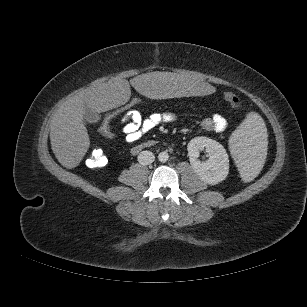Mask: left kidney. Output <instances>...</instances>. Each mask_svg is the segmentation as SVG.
Listing matches in <instances>:
<instances>
[{
    "mask_svg": "<svg viewBox=\"0 0 307 307\" xmlns=\"http://www.w3.org/2000/svg\"><path fill=\"white\" fill-rule=\"evenodd\" d=\"M190 164L199 177L208 184H217L228 175L229 159L224 147L217 141L207 137H195L187 146ZM205 150L208 160L198 159L200 151Z\"/></svg>",
    "mask_w": 307,
    "mask_h": 307,
    "instance_id": "obj_1",
    "label": "left kidney"
}]
</instances>
